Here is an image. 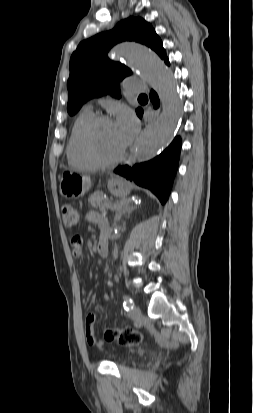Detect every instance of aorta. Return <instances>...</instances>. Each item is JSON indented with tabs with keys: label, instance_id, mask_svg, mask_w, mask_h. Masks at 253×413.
<instances>
[{
	"label": "aorta",
	"instance_id": "aorta-1",
	"mask_svg": "<svg viewBox=\"0 0 253 413\" xmlns=\"http://www.w3.org/2000/svg\"><path fill=\"white\" fill-rule=\"evenodd\" d=\"M113 55L139 71L153 85L162 102V113L137 142L136 160L145 162L173 140L183 114V102L176 81L155 52L135 42H124L113 49Z\"/></svg>",
	"mask_w": 253,
	"mask_h": 413
}]
</instances>
